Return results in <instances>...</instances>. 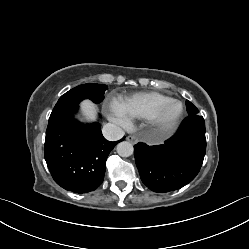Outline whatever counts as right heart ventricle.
Wrapping results in <instances>:
<instances>
[{"label":"right heart ventricle","instance_id":"e07e8e85","mask_svg":"<svg viewBox=\"0 0 249 249\" xmlns=\"http://www.w3.org/2000/svg\"><path fill=\"white\" fill-rule=\"evenodd\" d=\"M172 99L160 92H138L121 99L116 104L132 119H147L164 102Z\"/></svg>","mask_w":249,"mask_h":249}]
</instances>
